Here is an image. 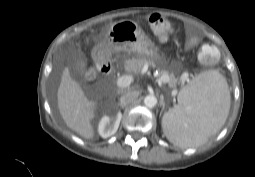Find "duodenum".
<instances>
[{"label":"duodenum","instance_id":"1","mask_svg":"<svg viewBox=\"0 0 255 177\" xmlns=\"http://www.w3.org/2000/svg\"><path fill=\"white\" fill-rule=\"evenodd\" d=\"M98 67L103 73H110L112 70L110 64L107 63L104 59H100L98 61Z\"/></svg>","mask_w":255,"mask_h":177}]
</instances>
